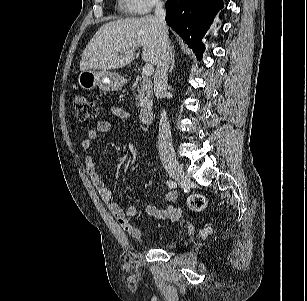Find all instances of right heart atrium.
Instances as JSON below:
<instances>
[{
	"label": "right heart atrium",
	"instance_id": "right-heart-atrium-1",
	"mask_svg": "<svg viewBox=\"0 0 307 301\" xmlns=\"http://www.w3.org/2000/svg\"><path fill=\"white\" fill-rule=\"evenodd\" d=\"M123 2L134 14H145L162 5L161 0H123Z\"/></svg>",
	"mask_w": 307,
	"mask_h": 301
}]
</instances>
